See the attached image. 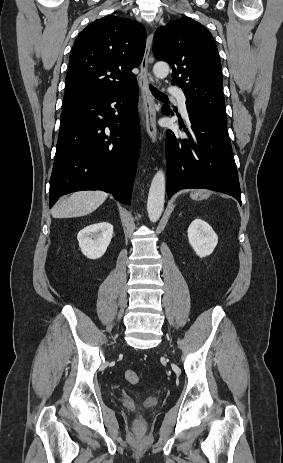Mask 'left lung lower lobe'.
<instances>
[{
	"instance_id": "left-lung-lower-lobe-1",
	"label": "left lung lower lobe",
	"mask_w": 283,
	"mask_h": 463,
	"mask_svg": "<svg viewBox=\"0 0 283 463\" xmlns=\"http://www.w3.org/2000/svg\"><path fill=\"white\" fill-rule=\"evenodd\" d=\"M191 126L187 138L167 131V192L169 198L180 189L205 188L233 196L241 204V191L227 123L197 113L187 106ZM169 114L170 108L163 106ZM173 114V113H171Z\"/></svg>"
}]
</instances>
